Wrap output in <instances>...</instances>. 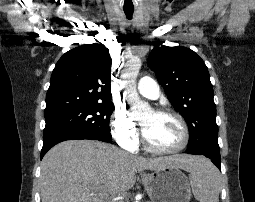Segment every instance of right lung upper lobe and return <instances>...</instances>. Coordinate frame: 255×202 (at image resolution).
Listing matches in <instances>:
<instances>
[{"instance_id": "right-lung-upper-lobe-1", "label": "right lung upper lobe", "mask_w": 255, "mask_h": 202, "mask_svg": "<svg viewBox=\"0 0 255 202\" xmlns=\"http://www.w3.org/2000/svg\"><path fill=\"white\" fill-rule=\"evenodd\" d=\"M111 57L103 44L66 52L57 62L46 95L45 114L91 103L111 102Z\"/></svg>"}]
</instances>
